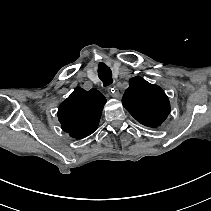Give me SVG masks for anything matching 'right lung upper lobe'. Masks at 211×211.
<instances>
[{
  "mask_svg": "<svg viewBox=\"0 0 211 211\" xmlns=\"http://www.w3.org/2000/svg\"><path fill=\"white\" fill-rule=\"evenodd\" d=\"M105 103V97L98 90L76 88L59 106L62 129L78 139L92 134L98 127Z\"/></svg>",
  "mask_w": 211,
  "mask_h": 211,
  "instance_id": "obj_1",
  "label": "right lung upper lobe"
}]
</instances>
